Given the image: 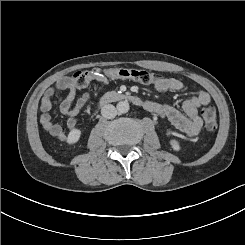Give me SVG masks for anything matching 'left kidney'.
<instances>
[{"mask_svg":"<svg viewBox=\"0 0 245 245\" xmlns=\"http://www.w3.org/2000/svg\"><path fill=\"white\" fill-rule=\"evenodd\" d=\"M170 144H171L173 150H175V151H179L180 150V145H179V142L178 141L171 140L170 141Z\"/></svg>","mask_w":245,"mask_h":245,"instance_id":"1","label":"left kidney"}]
</instances>
